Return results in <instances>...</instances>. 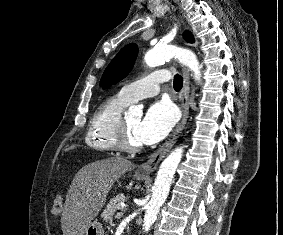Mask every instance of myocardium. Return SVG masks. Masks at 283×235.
Listing matches in <instances>:
<instances>
[{"label":"myocardium","mask_w":283,"mask_h":235,"mask_svg":"<svg viewBox=\"0 0 283 235\" xmlns=\"http://www.w3.org/2000/svg\"><path fill=\"white\" fill-rule=\"evenodd\" d=\"M115 143L118 150L126 153H136L142 149V144L133 143L129 138L125 120L121 118L115 130Z\"/></svg>","instance_id":"f54148a6"}]
</instances>
